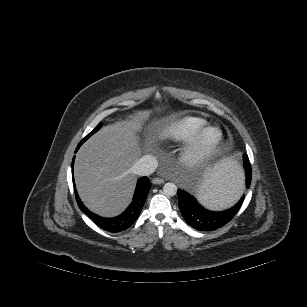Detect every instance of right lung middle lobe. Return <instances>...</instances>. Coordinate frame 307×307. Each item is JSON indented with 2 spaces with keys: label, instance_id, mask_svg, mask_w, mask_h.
<instances>
[{
  "label": "right lung middle lobe",
  "instance_id": "dd1d6c3e",
  "mask_svg": "<svg viewBox=\"0 0 307 307\" xmlns=\"http://www.w3.org/2000/svg\"><path fill=\"white\" fill-rule=\"evenodd\" d=\"M101 127V123L97 125L96 128H94V130L92 132H90L80 143H83L85 140H87L91 135H93L94 133H96L99 128Z\"/></svg>",
  "mask_w": 307,
  "mask_h": 307
}]
</instances>
